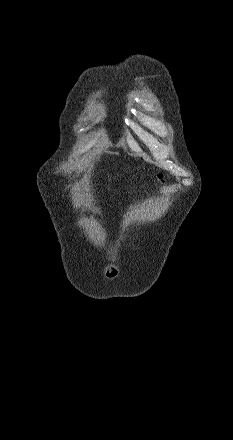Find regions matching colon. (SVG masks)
Wrapping results in <instances>:
<instances>
[{
	"label": "colon",
	"instance_id": "5ec220e1",
	"mask_svg": "<svg viewBox=\"0 0 233 440\" xmlns=\"http://www.w3.org/2000/svg\"><path fill=\"white\" fill-rule=\"evenodd\" d=\"M155 182H156L157 185L162 184L164 182L162 175H160V174L157 175L156 179H155Z\"/></svg>",
	"mask_w": 233,
	"mask_h": 440
}]
</instances>
